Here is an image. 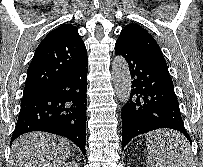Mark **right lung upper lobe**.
<instances>
[{"mask_svg":"<svg viewBox=\"0 0 203 167\" xmlns=\"http://www.w3.org/2000/svg\"><path fill=\"white\" fill-rule=\"evenodd\" d=\"M85 58L87 52L78 29L70 24L55 28L35 51L27 71L23 97L46 91Z\"/></svg>","mask_w":203,"mask_h":167,"instance_id":"cb5924a9","label":"right lung upper lobe"}]
</instances>
